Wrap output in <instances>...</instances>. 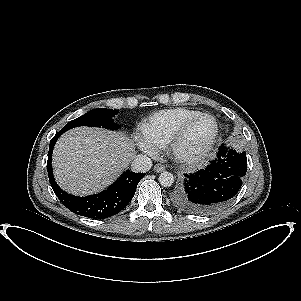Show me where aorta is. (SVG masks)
<instances>
[{
    "label": "aorta",
    "instance_id": "aorta-1",
    "mask_svg": "<svg viewBox=\"0 0 301 301\" xmlns=\"http://www.w3.org/2000/svg\"><path fill=\"white\" fill-rule=\"evenodd\" d=\"M159 183L161 186L163 187H170L173 185L174 183V176L172 173L168 172V171H163L160 175H159Z\"/></svg>",
    "mask_w": 301,
    "mask_h": 301
}]
</instances>
